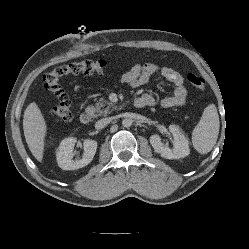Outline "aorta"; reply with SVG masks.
<instances>
[{"label":"aorta","mask_w":249,"mask_h":249,"mask_svg":"<svg viewBox=\"0 0 249 249\" xmlns=\"http://www.w3.org/2000/svg\"><path fill=\"white\" fill-rule=\"evenodd\" d=\"M122 125H123L124 127H126V128H129V127L132 125V120L126 118V119H124V120L122 121Z\"/></svg>","instance_id":"obj_1"}]
</instances>
